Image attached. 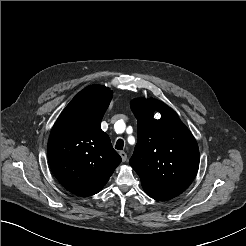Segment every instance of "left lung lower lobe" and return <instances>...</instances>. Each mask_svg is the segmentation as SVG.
<instances>
[{
  "label": "left lung lower lobe",
  "mask_w": 246,
  "mask_h": 246,
  "mask_svg": "<svg viewBox=\"0 0 246 246\" xmlns=\"http://www.w3.org/2000/svg\"><path fill=\"white\" fill-rule=\"evenodd\" d=\"M143 189L145 190L148 196L156 200H159V201L169 200L174 197V196H171V195H168V194H165V193H162V192L150 189V188L143 187Z\"/></svg>",
  "instance_id": "obj_1"
}]
</instances>
